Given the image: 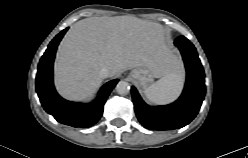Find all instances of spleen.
Listing matches in <instances>:
<instances>
[{
    "label": "spleen",
    "instance_id": "3e777b00",
    "mask_svg": "<svg viewBox=\"0 0 248 158\" xmlns=\"http://www.w3.org/2000/svg\"><path fill=\"white\" fill-rule=\"evenodd\" d=\"M184 73L181 68H175L157 82L144 90V95L150 103L167 104L174 101L183 88Z\"/></svg>",
    "mask_w": 248,
    "mask_h": 158
}]
</instances>
